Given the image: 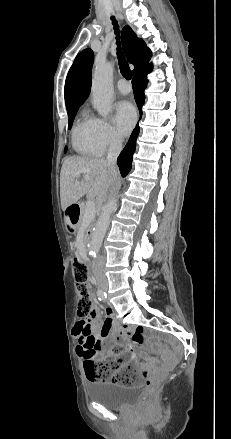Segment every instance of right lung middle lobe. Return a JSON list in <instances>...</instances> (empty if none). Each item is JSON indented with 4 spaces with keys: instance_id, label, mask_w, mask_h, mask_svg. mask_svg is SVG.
Masks as SVG:
<instances>
[{
    "instance_id": "right-lung-middle-lobe-1",
    "label": "right lung middle lobe",
    "mask_w": 231,
    "mask_h": 439,
    "mask_svg": "<svg viewBox=\"0 0 231 439\" xmlns=\"http://www.w3.org/2000/svg\"><path fill=\"white\" fill-rule=\"evenodd\" d=\"M78 108H79V107H77V108H73V109H70V110H67V112H68V117H69V121H68V129H71V127H72V123H73V120H74V117H75V115H76V113H77ZM66 151H67V147L65 148V151H64V152H66Z\"/></svg>"
}]
</instances>
